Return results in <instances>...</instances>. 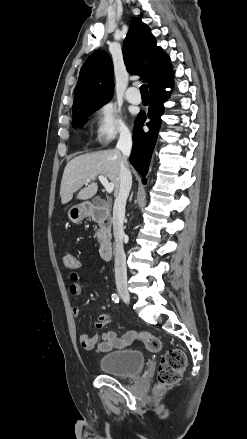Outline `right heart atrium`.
<instances>
[{
    "label": "right heart atrium",
    "mask_w": 247,
    "mask_h": 439,
    "mask_svg": "<svg viewBox=\"0 0 247 439\" xmlns=\"http://www.w3.org/2000/svg\"><path fill=\"white\" fill-rule=\"evenodd\" d=\"M96 141L106 146L118 137H127L130 132L121 112L112 102L102 104L95 112Z\"/></svg>",
    "instance_id": "right-heart-atrium-1"
}]
</instances>
